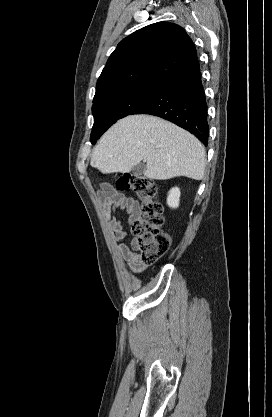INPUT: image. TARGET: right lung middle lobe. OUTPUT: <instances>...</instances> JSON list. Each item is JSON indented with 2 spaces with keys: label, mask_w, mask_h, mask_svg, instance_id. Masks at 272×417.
<instances>
[{
  "label": "right lung middle lobe",
  "mask_w": 272,
  "mask_h": 417,
  "mask_svg": "<svg viewBox=\"0 0 272 417\" xmlns=\"http://www.w3.org/2000/svg\"><path fill=\"white\" fill-rule=\"evenodd\" d=\"M161 85L136 86L116 91L102 99L93 101L94 125L91 143L96 140L118 119L132 115L156 93Z\"/></svg>",
  "instance_id": "right-lung-middle-lobe-1"
}]
</instances>
